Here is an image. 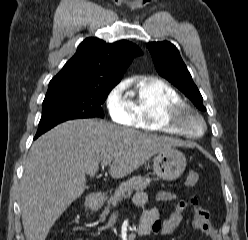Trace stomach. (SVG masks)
<instances>
[{
    "mask_svg": "<svg viewBox=\"0 0 248 240\" xmlns=\"http://www.w3.org/2000/svg\"><path fill=\"white\" fill-rule=\"evenodd\" d=\"M185 155L176 149L160 152L153 159V170L158 178L166 181L177 179L185 170Z\"/></svg>",
    "mask_w": 248,
    "mask_h": 240,
    "instance_id": "obj_1",
    "label": "stomach"
}]
</instances>
